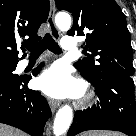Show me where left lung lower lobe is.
Masks as SVG:
<instances>
[{
	"label": "left lung lower lobe",
	"instance_id": "left-lung-lower-lobe-1",
	"mask_svg": "<svg viewBox=\"0 0 136 136\" xmlns=\"http://www.w3.org/2000/svg\"><path fill=\"white\" fill-rule=\"evenodd\" d=\"M83 75V74H82ZM99 98L96 105L75 113L67 136L87 130H113L136 136V102L131 77L110 76L99 81L83 75Z\"/></svg>",
	"mask_w": 136,
	"mask_h": 136
}]
</instances>
